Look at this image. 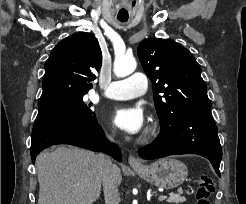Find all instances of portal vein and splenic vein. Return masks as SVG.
Returning <instances> with one entry per match:
<instances>
[{
  "label": "portal vein and splenic vein",
  "mask_w": 246,
  "mask_h": 204,
  "mask_svg": "<svg viewBox=\"0 0 246 204\" xmlns=\"http://www.w3.org/2000/svg\"><path fill=\"white\" fill-rule=\"evenodd\" d=\"M165 198H166V196L162 195V196H159L158 199H159L160 201H162V200H164Z\"/></svg>",
  "instance_id": "portal-vein-and-splenic-vein-1"
}]
</instances>
